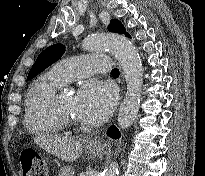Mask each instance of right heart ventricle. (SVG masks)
I'll list each match as a JSON object with an SVG mask.
<instances>
[{
    "instance_id": "right-heart-ventricle-1",
    "label": "right heart ventricle",
    "mask_w": 205,
    "mask_h": 176,
    "mask_svg": "<svg viewBox=\"0 0 205 176\" xmlns=\"http://www.w3.org/2000/svg\"><path fill=\"white\" fill-rule=\"evenodd\" d=\"M65 83L54 73L47 72L33 81L25 95V125L33 134H57L61 123L53 110L56 92Z\"/></svg>"
}]
</instances>
